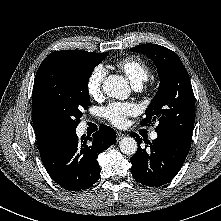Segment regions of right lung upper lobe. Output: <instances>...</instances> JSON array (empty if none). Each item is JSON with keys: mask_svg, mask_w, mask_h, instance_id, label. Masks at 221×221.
<instances>
[{"mask_svg": "<svg viewBox=\"0 0 221 221\" xmlns=\"http://www.w3.org/2000/svg\"><path fill=\"white\" fill-rule=\"evenodd\" d=\"M93 52L79 51V50H63L55 51L49 54L41 63L40 66L54 60L60 56L70 55V54H86ZM33 125L36 133V139L39 149L45 147L50 143V141L58 134L59 131L55 130L50 124L44 121L41 116L37 113L35 109H32Z\"/></svg>", "mask_w": 221, "mask_h": 221, "instance_id": "1", "label": "right lung upper lobe"}]
</instances>
